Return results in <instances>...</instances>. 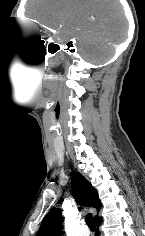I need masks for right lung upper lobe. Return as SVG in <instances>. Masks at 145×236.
<instances>
[{
	"mask_svg": "<svg viewBox=\"0 0 145 236\" xmlns=\"http://www.w3.org/2000/svg\"><path fill=\"white\" fill-rule=\"evenodd\" d=\"M71 185L75 200L78 202V204L93 207L97 210V212L100 211L101 202L99 200L97 191L80 172H76L73 175ZM97 218L99 217L95 216L94 220ZM61 222V210L59 208L50 210L43 219L37 236H61Z\"/></svg>",
	"mask_w": 145,
	"mask_h": 236,
	"instance_id": "cb5924a9",
	"label": "right lung upper lobe"
}]
</instances>
